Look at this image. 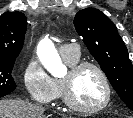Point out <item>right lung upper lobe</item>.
<instances>
[{"instance_id": "obj_1", "label": "right lung upper lobe", "mask_w": 133, "mask_h": 118, "mask_svg": "<svg viewBox=\"0 0 133 118\" xmlns=\"http://www.w3.org/2000/svg\"><path fill=\"white\" fill-rule=\"evenodd\" d=\"M27 18L19 11L0 16V58L15 59L24 43Z\"/></svg>"}]
</instances>
